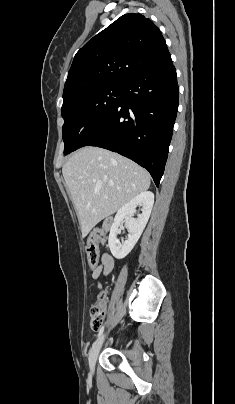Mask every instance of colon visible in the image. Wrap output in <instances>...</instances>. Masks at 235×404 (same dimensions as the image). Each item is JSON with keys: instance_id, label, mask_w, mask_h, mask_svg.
I'll return each instance as SVG.
<instances>
[{"instance_id": "1", "label": "colon", "mask_w": 235, "mask_h": 404, "mask_svg": "<svg viewBox=\"0 0 235 404\" xmlns=\"http://www.w3.org/2000/svg\"><path fill=\"white\" fill-rule=\"evenodd\" d=\"M106 235L102 230H93L87 237L85 253L88 265L91 268L97 266L99 262V245L105 243ZM105 295L100 297V301L92 305L90 309V327L97 330L101 327L105 316Z\"/></svg>"}]
</instances>
